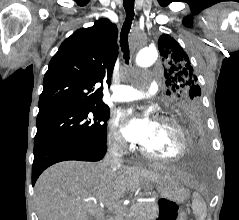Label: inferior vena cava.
I'll list each match as a JSON object with an SVG mask.
<instances>
[{"label":"inferior vena cava","instance_id":"602c4592","mask_svg":"<svg viewBox=\"0 0 239 220\" xmlns=\"http://www.w3.org/2000/svg\"><path fill=\"white\" fill-rule=\"evenodd\" d=\"M126 148V143L122 140L110 142L103 163L111 167H119L122 162V155Z\"/></svg>","mask_w":239,"mask_h":220}]
</instances>
